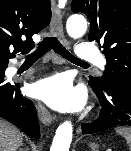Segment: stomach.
<instances>
[{
	"label": "stomach",
	"mask_w": 131,
	"mask_h": 151,
	"mask_svg": "<svg viewBox=\"0 0 131 151\" xmlns=\"http://www.w3.org/2000/svg\"><path fill=\"white\" fill-rule=\"evenodd\" d=\"M90 148H91V151H99L98 150V144H96V143H91L90 145Z\"/></svg>",
	"instance_id": "1"
}]
</instances>
